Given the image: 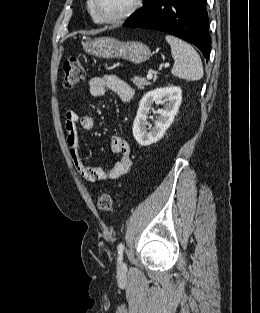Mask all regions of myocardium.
Returning <instances> with one entry per match:
<instances>
[{
  "label": "myocardium",
  "instance_id": "1",
  "mask_svg": "<svg viewBox=\"0 0 260 313\" xmlns=\"http://www.w3.org/2000/svg\"><path fill=\"white\" fill-rule=\"evenodd\" d=\"M91 1H92V10H93L95 17L100 23H105V24H118V23L125 21L126 19L134 15L138 11V9L141 7V4H142V0H133L130 7L126 11H124L122 14L115 16V17H104L100 14L98 10L97 0H91Z\"/></svg>",
  "mask_w": 260,
  "mask_h": 313
}]
</instances>
